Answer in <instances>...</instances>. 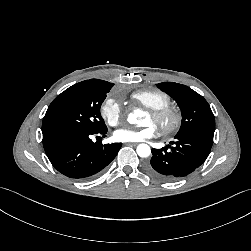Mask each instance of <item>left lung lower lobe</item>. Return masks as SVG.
I'll list each match as a JSON object with an SVG mask.
<instances>
[{
    "label": "left lung lower lobe",
    "instance_id": "left-lung-lower-lobe-1",
    "mask_svg": "<svg viewBox=\"0 0 251 251\" xmlns=\"http://www.w3.org/2000/svg\"><path fill=\"white\" fill-rule=\"evenodd\" d=\"M213 135L206 132L186 133L175 136V142H170L174 146L152 149L148 172L163 181L185 177L206 160L213 144Z\"/></svg>",
    "mask_w": 251,
    "mask_h": 251
}]
</instances>
